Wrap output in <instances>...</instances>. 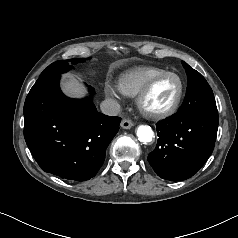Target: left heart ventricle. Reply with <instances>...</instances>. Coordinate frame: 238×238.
<instances>
[{"instance_id":"b2bd125f","label":"left heart ventricle","mask_w":238,"mask_h":238,"mask_svg":"<svg viewBox=\"0 0 238 238\" xmlns=\"http://www.w3.org/2000/svg\"><path fill=\"white\" fill-rule=\"evenodd\" d=\"M179 90V81L174 76L159 80L146 99L145 105L151 110H160L169 106Z\"/></svg>"}]
</instances>
